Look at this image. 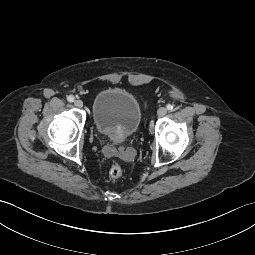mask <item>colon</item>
<instances>
[{
    "label": "colon",
    "mask_w": 255,
    "mask_h": 255,
    "mask_svg": "<svg viewBox=\"0 0 255 255\" xmlns=\"http://www.w3.org/2000/svg\"><path fill=\"white\" fill-rule=\"evenodd\" d=\"M108 173L112 179H118L123 174V168L121 165L115 163L110 166Z\"/></svg>",
    "instance_id": "5ec220e1"
}]
</instances>
